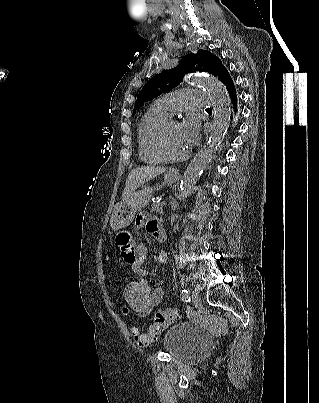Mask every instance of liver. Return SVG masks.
<instances>
[{"label": "liver", "mask_w": 319, "mask_h": 403, "mask_svg": "<svg viewBox=\"0 0 319 403\" xmlns=\"http://www.w3.org/2000/svg\"><path fill=\"white\" fill-rule=\"evenodd\" d=\"M164 171L165 168L155 166H144L133 169L126 179L122 201L126 200L142 184L162 174Z\"/></svg>", "instance_id": "1"}]
</instances>
